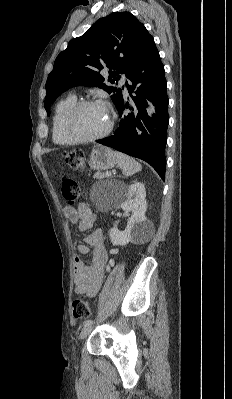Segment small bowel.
<instances>
[{"mask_svg":"<svg viewBox=\"0 0 232 399\" xmlns=\"http://www.w3.org/2000/svg\"><path fill=\"white\" fill-rule=\"evenodd\" d=\"M77 209L80 216L79 229L88 230L95 224L92 208L87 200L80 199L77 202ZM75 208L67 206L64 209L66 215L75 213ZM103 233L95 231L90 236L81 239L77 245L80 253H87L88 246L93 247L91 264L87 267L80 258L73 257V291L77 295L87 293L92 300H95L102 286L103 266L107 261V254L104 249Z\"/></svg>","mask_w":232,"mask_h":399,"instance_id":"1","label":"small bowel"}]
</instances>
